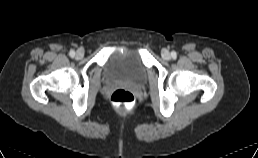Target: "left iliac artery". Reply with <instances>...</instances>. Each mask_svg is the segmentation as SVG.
I'll use <instances>...</instances> for the list:
<instances>
[{
	"instance_id": "left-iliac-artery-1",
	"label": "left iliac artery",
	"mask_w": 258,
	"mask_h": 158,
	"mask_svg": "<svg viewBox=\"0 0 258 158\" xmlns=\"http://www.w3.org/2000/svg\"><path fill=\"white\" fill-rule=\"evenodd\" d=\"M171 56H172L173 58H176L177 53H176L175 51H172V52H171Z\"/></svg>"
}]
</instances>
